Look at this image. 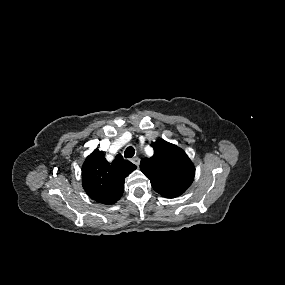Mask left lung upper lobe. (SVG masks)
Segmentation results:
<instances>
[{
	"label": "left lung upper lobe",
	"instance_id": "obj_1",
	"mask_svg": "<svg viewBox=\"0 0 285 285\" xmlns=\"http://www.w3.org/2000/svg\"><path fill=\"white\" fill-rule=\"evenodd\" d=\"M154 155L141 161L140 169L156 192L182 194L191 185L195 168L178 146L163 139L152 143Z\"/></svg>",
	"mask_w": 285,
	"mask_h": 285
}]
</instances>
